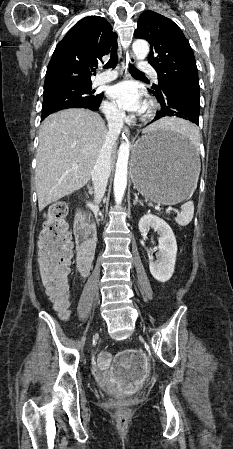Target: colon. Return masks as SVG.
<instances>
[{
	"mask_svg": "<svg viewBox=\"0 0 233 449\" xmlns=\"http://www.w3.org/2000/svg\"><path fill=\"white\" fill-rule=\"evenodd\" d=\"M68 207L64 201H55L46 215L39 236V274L44 288L54 300L59 312H69V267L72 259L71 236L65 217ZM121 409L119 415H124Z\"/></svg>",
	"mask_w": 233,
	"mask_h": 449,
	"instance_id": "colon-1",
	"label": "colon"
}]
</instances>
